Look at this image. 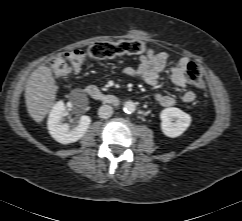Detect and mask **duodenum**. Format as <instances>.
Returning a JSON list of instances; mask_svg holds the SVG:
<instances>
[{
    "label": "duodenum",
    "mask_w": 242,
    "mask_h": 221,
    "mask_svg": "<svg viewBox=\"0 0 242 221\" xmlns=\"http://www.w3.org/2000/svg\"><path fill=\"white\" fill-rule=\"evenodd\" d=\"M85 92L88 96L97 101H101L107 104H116L118 102L116 96L110 93L103 92L96 86L86 87Z\"/></svg>",
    "instance_id": "duodenum-1"
}]
</instances>
